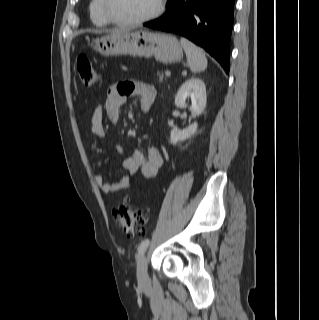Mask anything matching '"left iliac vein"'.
Returning a JSON list of instances; mask_svg holds the SVG:
<instances>
[{"label":"left iliac vein","instance_id":"obj_1","mask_svg":"<svg viewBox=\"0 0 319 320\" xmlns=\"http://www.w3.org/2000/svg\"><path fill=\"white\" fill-rule=\"evenodd\" d=\"M147 259L142 256L137 265V279L140 286H145L149 283V276L147 271Z\"/></svg>","mask_w":319,"mask_h":320}]
</instances>
